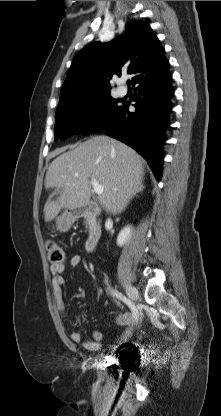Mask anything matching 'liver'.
Returning <instances> with one entry per match:
<instances>
[{
    "mask_svg": "<svg viewBox=\"0 0 221 416\" xmlns=\"http://www.w3.org/2000/svg\"><path fill=\"white\" fill-rule=\"evenodd\" d=\"M142 157L131 147L108 136H95L64 152L50 164L46 188L61 189L56 201L44 206V219L53 220L62 208L76 209L91 197V181L104 191L99 203L108 213H121L136 193L143 189Z\"/></svg>",
    "mask_w": 221,
    "mask_h": 416,
    "instance_id": "6515ba94",
    "label": "liver"
}]
</instances>
